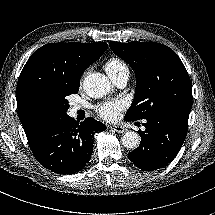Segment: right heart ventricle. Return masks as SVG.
I'll return each instance as SVG.
<instances>
[{
    "label": "right heart ventricle",
    "mask_w": 215,
    "mask_h": 215,
    "mask_svg": "<svg viewBox=\"0 0 215 215\" xmlns=\"http://www.w3.org/2000/svg\"><path fill=\"white\" fill-rule=\"evenodd\" d=\"M104 68L113 80L123 72L129 73L127 64L118 57H111L110 59H108L104 64Z\"/></svg>",
    "instance_id": "right-heart-ventricle-1"
}]
</instances>
